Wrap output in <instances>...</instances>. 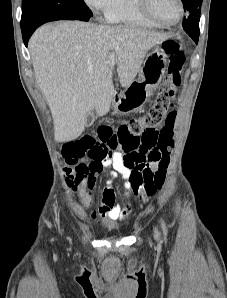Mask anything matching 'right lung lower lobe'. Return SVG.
I'll return each mask as SVG.
<instances>
[{
  "label": "right lung lower lobe",
  "mask_w": 227,
  "mask_h": 298,
  "mask_svg": "<svg viewBox=\"0 0 227 298\" xmlns=\"http://www.w3.org/2000/svg\"><path fill=\"white\" fill-rule=\"evenodd\" d=\"M54 20H61V19H49V20H43L41 22L36 23L35 25L31 26L30 28L22 31V35H23V41L25 46L27 47L28 44V40L31 37V35L33 34V32L42 24L49 22V21H54Z\"/></svg>",
  "instance_id": "obj_1"
}]
</instances>
